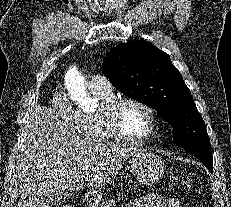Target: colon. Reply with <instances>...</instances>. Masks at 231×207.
<instances>
[{"label":"colon","mask_w":231,"mask_h":207,"mask_svg":"<svg viewBox=\"0 0 231 207\" xmlns=\"http://www.w3.org/2000/svg\"><path fill=\"white\" fill-rule=\"evenodd\" d=\"M175 180L183 187H186V188L191 187V179L186 174H177V175H175Z\"/></svg>","instance_id":"1"}]
</instances>
